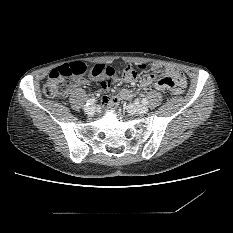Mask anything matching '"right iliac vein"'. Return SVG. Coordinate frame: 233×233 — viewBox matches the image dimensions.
I'll return each instance as SVG.
<instances>
[{
    "mask_svg": "<svg viewBox=\"0 0 233 233\" xmlns=\"http://www.w3.org/2000/svg\"><path fill=\"white\" fill-rule=\"evenodd\" d=\"M95 110H96V108H95V106H93V105L86 106V107L84 108V111H85L86 114H88L89 116H92V115L95 113Z\"/></svg>",
    "mask_w": 233,
    "mask_h": 233,
    "instance_id": "63e3f726",
    "label": "right iliac vein"
}]
</instances>
